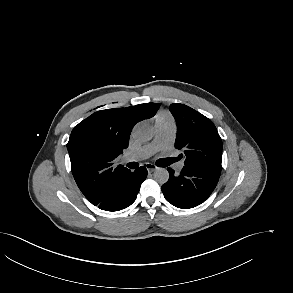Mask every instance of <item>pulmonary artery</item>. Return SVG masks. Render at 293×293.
<instances>
[{"label": "pulmonary artery", "mask_w": 293, "mask_h": 293, "mask_svg": "<svg viewBox=\"0 0 293 293\" xmlns=\"http://www.w3.org/2000/svg\"><path fill=\"white\" fill-rule=\"evenodd\" d=\"M156 136L154 141L143 147H140L133 152L123 157L124 163L138 162L152 156L158 149L166 146L175 136V124L155 123ZM183 163H178L176 169L180 171L183 168Z\"/></svg>", "instance_id": "obj_1"}]
</instances>
